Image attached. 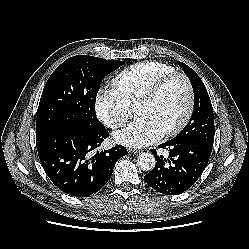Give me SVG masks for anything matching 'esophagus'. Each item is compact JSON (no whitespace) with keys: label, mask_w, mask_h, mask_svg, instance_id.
<instances>
[{"label":"esophagus","mask_w":249,"mask_h":249,"mask_svg":"<svg viewBox=\"0 0 249 249\" xmlns=\"http://www.w3.org/2000/svg\"><path fill=\"white\" fill-rule=\"evenodd\" d=\"M128 152L131 153V154H137V153H139L140 151L137 150V149L129 148V149H128Z\"/></svg>","instance_id":"34e87169"}]
</instances>
